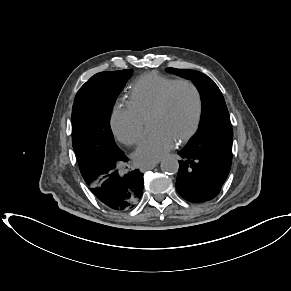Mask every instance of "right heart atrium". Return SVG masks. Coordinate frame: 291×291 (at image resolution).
<instances>
[{
	"label": "right heart atrium",
	"instance_id": "right-heart-atrium-1",
	"mask_svg": "<svg viewBox=\"0 0 291 291\" xmlns=\"http://www.w3.org/2000/svg\"><path fill=\"white\" fill-rule=\"evenodd\" d=\"M110 125L115 137L126 145L137 143L144 132V121L127 104L114 107Z\"/></svg>",
	"mask_w": 291,
	"mask_h": 291
}]
</instances>
